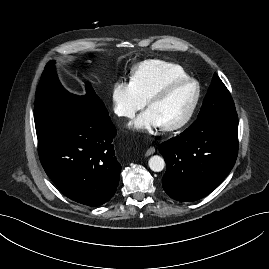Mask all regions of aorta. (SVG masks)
I'll return each mask as SVG.
<instances>
[{
  "mask_svg": "<svg viewBox=\"0 0 269 269\" xmlns=\"http://www.w3.org/2000/svg\"><path fill=\"white\" fill-rule=\"evenodd\" d=\"M148 165L154 172H161L165 167L164 159L158 155H154L149 159Z\"/></svg>",
  "mask_w": 269,
  "mask_h": 269,
  "instance_id": "1",
  "label": "aorta"
}]
</instances>
